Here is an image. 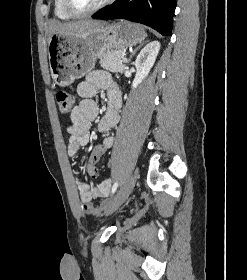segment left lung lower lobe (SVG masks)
I'll return each instance as SVG.
<instances>
[{"instance_id":"obj_1","label":"left lung lower lobe","mask_w":247,"mask_h":280,"mask_svg":"<svg viewBox=\"0 0 247 280\" xmlns=\"http://www.w3.org/2000/svg\"><path fill=\"white\" fill-rule=\"evenodd\" d=\"M176 0H116L94 19H127L150 26L163 36H171Z\"/></svg>"}]
</instances>
